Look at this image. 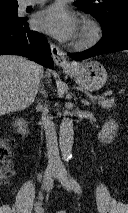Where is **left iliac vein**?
<instances>
[{
	"label": "left iliac vein",
	"mask_w": 128,
	"mask_h": 213,
	"mask_svg": "<svg viewBox=\"0 0 128 213\" xmlns=\"http://www.w3.org/2000/svg\"><path fill=\"white\" fill-rule=\"evenodd\" d=\"M57 178L65 189H67L68 191H72L73 187L71 185L70 179L67 176L65 168H58Z\"/></svg>",
	"instance_id": "left-iliac-vein-1"
}]
</instances>
